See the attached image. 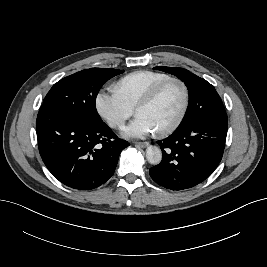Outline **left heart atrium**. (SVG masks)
<instances>
[{
  "mask_svg": "<svg viewBox=\"0 0 267 267\" xmlns=\"http://www.w3.org/2000/svg\"><path fill=\"white\" fill-rule=\"evenodd\" d=\"M156 131L153 123L144 115L137 117L123 130V134L132 138H144Z\"/></svg>",
  "mask_w": 267,
  "mask_h": 267,
  "instance_id": "39dd6f15",
  "label": "left heart atrium"
}]
</instances>
